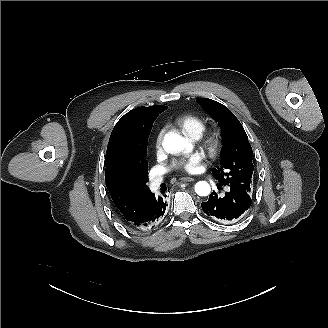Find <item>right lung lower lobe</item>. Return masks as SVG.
<instances>
[{
	"label": "right lung lower lobe",
	"mask_w": 328,
	"mask_h": 328,
	"mask_svg": "<svg viewBox=\"0 0 328 328\" xmlns=\"http://www.w3.org/2000/svg\"><path fill=\"white\" fill-rule=\"evenodd\" d=\"M166 197V196H164ZM164 197H156L155 194H151L147 204L142 210L141 215L134 223H127L123 221L128 227L139 230H150L160 223L165 210L166 202Z\"/></svg>",
	"instance_id": "98d812e1"
}]
</instances>
